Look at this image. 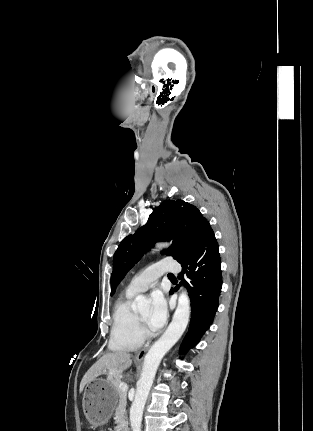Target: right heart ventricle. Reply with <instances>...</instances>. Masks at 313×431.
I'll list each match as a JSON object with an SVG mask.
<instances>
[{
  "mask_svg": "<svg viewBox=\"0 0 313 431\" xmlns=\"http://www.w3.org/2000/svg\"><path fill=\"white\" fill-rule=\"evenodd\" d=\"M134 295L126 293L115 304L110 348L116 351H132L143 342L137 322V314L132 309Z\"/></svg>",
  "mask_w": 313,
  "mask_h": 431,
  "instance_id": "obj_1",
  "label": "right heart ventricle"
}]
</instances>
